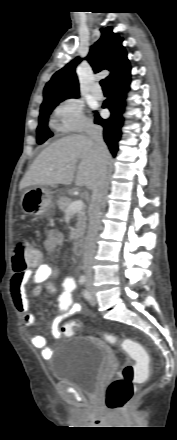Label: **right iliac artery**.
Segmentation results:
<instances>
[{
	"label": "right iliac artery",
	"mask_w": 177,
	"mask_h": 440,
	"mask_svg": "<svg viewBox=\"0 0 177 440\" xmlns=\"http://www.w3.org/2000/svg\"><path fill=\"white\" fill-rule=\"evenodd\" d=\"M86 282V277L84 275L80 276L79 278V284H84Z\"/></svg>",
	"instance_id": "82829eb1"
}]
</instances>
